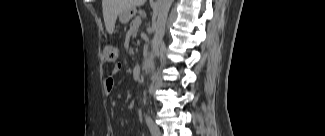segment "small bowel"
<instances>
[{
    "mask_svg": "<svg viewBox=\"0 0 325 136\" xmlns=\"http://www.w3.org/2000/svg\"><path fill=\"white\" fill-rule=\"evenodd\" d=\"M120 70V65L116 66L113 70V74L109 75L108 77L105 78L104 80V93L106 95H110L114 89V74L119 72Z\"/></svg>",
    "mask_w": 325,
    "mask_h": 136,
    "instance_id": "1",
    "label": "small bowel"
}]
</instances>
